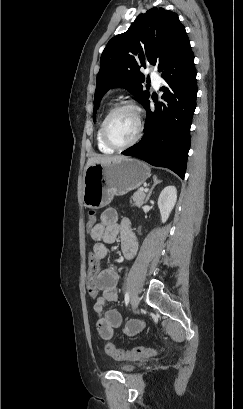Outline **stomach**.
<instances>
[{
    "label": "stomach",
    "instance_id": "1",
    "mask_svg": "<svg viewBox=\"0 0 243 409\" xmlns=\"http://www.w3.org/2000/svg\"><path fill=\"white\" fill-rule=\"evenodd\" d=\"M150 176L144 162L124 157L109 163H96L86 168L83 177L84 206L99 209L140 187Z\"/></svg>",
    "mask_w": 243,
    "mask_h": 409
}]
</instances>
